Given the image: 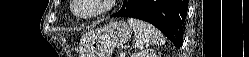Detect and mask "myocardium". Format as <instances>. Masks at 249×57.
I'll return each mask as SVG.
<instances>
[{"label": "myocardium", "instance_id": "1", "mask_svg": "<svg viewBox=\"0 0 249 57\" xmlns=\"http://www.w3.org/2000/svg\"><path fill=\"white\" fill-rule=\"evenodd\" d=\"M80 0H72L71 1V12L72 14L79 19H91L105 13L110 12L118 2L117 0H101L102 6L95 12L89 14H80L76 12V7L79 4Z\"/></svg>", "mask_w": 249, "mask_h": 57}]
</instances>
